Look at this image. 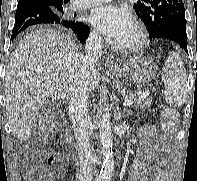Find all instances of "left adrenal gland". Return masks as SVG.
Returning <instances> with one entry per match:
<instances>
[{"label":"left adrenal gland","mask_w":197,"mask_h":181,"mask_svg":"<svg viewBox=\"0 0 197 181\" xmlns=\"http://www.w3.org/2000/svg\"><path fill=\"white\" fill-rule=\"evenodd\" d=\"M129 114H131V111H128V112H127V115H129ZM119 116H120V113H119Z\"/></svg>","instance_id":"obj_1"}]
</instances>
